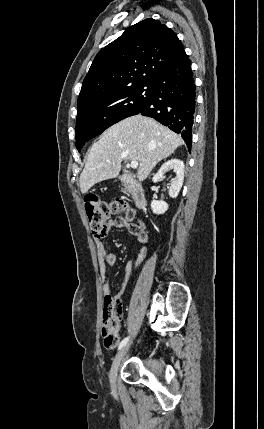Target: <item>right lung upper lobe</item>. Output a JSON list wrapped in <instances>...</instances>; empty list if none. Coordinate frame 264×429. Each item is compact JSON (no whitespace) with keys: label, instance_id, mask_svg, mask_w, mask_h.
Wrapping results in <instances>:
<instances>
[{"label":"right lung upper lobe","instance_id":"obj_1","mask_svg":"<svg viewBox=\"0 0 264 429\" xmlns=\"http://www.w3.org/2000/svg\"><path fill=\"white\" fill-rule=\"evenodd\" d=\"M183 53L170 28L152 18L138 22L96 55L77 106L133 85L153 84Z\"/></svg>","mask_w":264,"mask_h":429}]
</instances>
